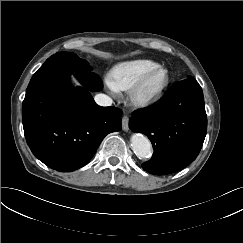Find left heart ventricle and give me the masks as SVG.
Segmentation results:
<instances>
[{
  "label": "left heart ventricle",
  "instance_id": "left-heart-ventricle-1",
  "mask_svg": "<svg viewBox=\"0 0 243 243\" xmlns=\"http://www.w3.org/2000/svg\"><path fill=\"white\" fill-rule=\"evenodd\" d=\"M161 79H162V74H157L154 77H152V79L149 81V83L146 87V90L150 91V90H153L154 88H156L157 85L160 83Z\"/></svg>",
  "mask_w": 243,
  "mask_h": 243
}]
</instances>
